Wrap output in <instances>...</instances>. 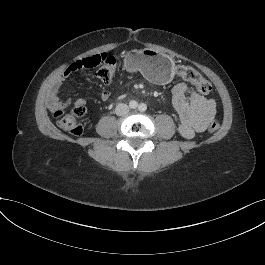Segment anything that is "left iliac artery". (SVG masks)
Listing matches in <instances>:
<instances>
[{"instance_id":"left-iliac-artery-1","label":"left iliac artery","mask_w":265,"mask_h":265,"mask_svg":"<svg viewBox=\"0 0 265 265\" xmlns=\"http://www.w3.org/2000/svg\"><path fill=\"white\" fill-rule=\"evenodd\" d=\"M146 109H147V106H146V104H144V103H141V104L139 105V110H140L141 112H144V111H146Z\"/></svg>"}]
</instances>
